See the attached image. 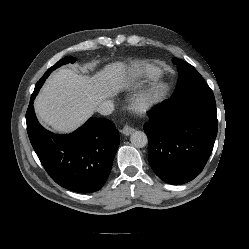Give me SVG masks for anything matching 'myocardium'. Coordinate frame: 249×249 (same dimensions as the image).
I'll return each mask as SVG.
<instances>
[{"label": "myocardium", "instance_id": "obj_1", "mask_svg": "<svg viewBox=\"0 0 249 249\" xmlns=\"http://www.w3.org/2000/svg\"><path fill=\"white\" fill-rule=\"evenodd\" d=\"M167 91V84L155 79L135 96L133 105L138 111L148 110L159 104L165 98Z\"/></svg>", "mask_w": 249, "mask_h": 249}]
</instances>
